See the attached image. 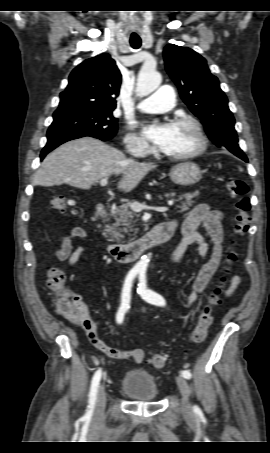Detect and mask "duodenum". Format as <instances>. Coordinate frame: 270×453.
I'll return each mask as SVG.
<instances>
[{
    "instance_id": "obj_1",
    "label": "duodenum",
    "mask_w": 270,
    "mask_h": 453,
    "mask_svg": "<svg viewBox=\"0 0 270 453\" xmlns=\"http://www.w3.org/2000/svg\"><path fill=\"white\" fill-rule=\"evenodd\" d=\"M108 208L104 205L96 210L98 216L104 217ZM168 221L156 225L145 236L127 244H111L108 246L109 254L118 262H130L140 257L148 249L157 246L170 239L175 227Z\"/></svg>"
}]
</instances>
